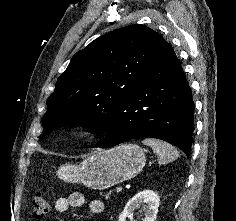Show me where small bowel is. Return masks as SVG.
<instances>
[{
	"label": "small bowel",
	"instance_id": "1",
	"mask_svg": "<svg viewBox=\"0 0 236 221\" xmlns=\"http://www.w3.org/2000/svg\"><path fill=\"white\" fill-rule=\"evenodd\" d=\"M86 197L81 193H73L68 198L61 197L55 201L54 208L58 213H64L69 208H79L87 204ZM89 210L93 215H100L104 212V203L101 200L95 199L88 203Z\"/></svg>",
	"mask_w": 236,
	"mask_h": 221
}]
</instances>
